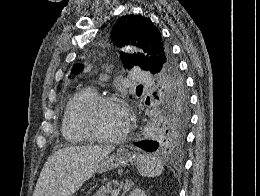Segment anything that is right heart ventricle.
Segmentation results:
<instances>
[{
    "label": "right heart ventricle",
    "mask_w": 260,
    "mask_h": 196,
    "mask_svg": "<svg viewBox=\"0 0 260 196\" xmlns=\"http://www.w3.org/2000/svg\"><path fill=\"white\" fill-rule=\"evenodd\" d=\"M96 97L92 88H82L77 91L68 104L62 121V135L70 145H77L91 139L88 134L78 126L77 110H84L85 107Z\"/></svg>",
    "instance_id": "right-heart-ventricle-1"
}]
</instances>
